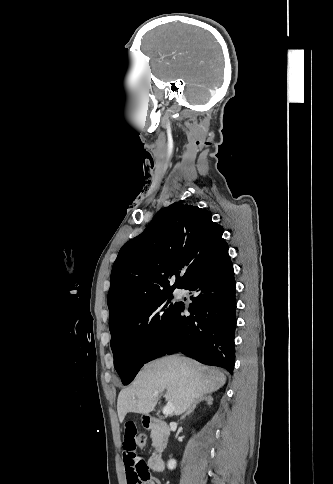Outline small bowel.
<instances>
[{"label": "small bowel", "instance_id": "obj_1", "mask_svg": "<svg viewBox=\"0 0 333 484\" xmlns=\"http://www.w3.org/2000/svg\"><path fill=\"white\" fill-rule=\"evenodd\" d=\"M137 427L132 420L124 424L123 462L127 484H161L151 475L147 463L138 456L136 449Z\"/></svg>", "mask_w": 333, "mask_h": 484}]
</instances>
